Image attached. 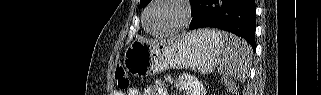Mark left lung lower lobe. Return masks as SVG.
<instances>
[{
  "instance_id": "1",
  "label": "left lung lower lobe",
  "mask_w": 321,
  "mask_h": 95,
  "mask_svg": "<svg viewBox=\"0 0 321 95\" xmlns=\"http://www.w3.org/2000/svg\"><path fill=\"white\" fill-rule=\"evenodd\" d=\"M190 30L214 27L243 37L255 48V0H193Z\"/></svg>"
}]
</instances>
